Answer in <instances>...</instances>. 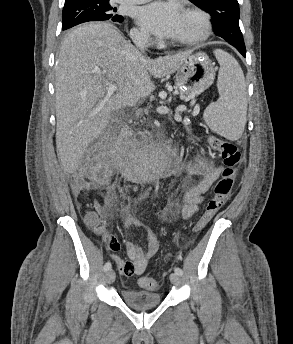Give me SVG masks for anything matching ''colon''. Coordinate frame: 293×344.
Wrapping results in <instances>:
<instances>
[{
  "label": "colon",
  "mask_w": 293,
  "mask_h": 344,
  "mask_svg": "<svg viewBox=\"0 0 293 344\" xmlns=\"http://www.w3.org/2000/svg\"><path fill=\"white\" fill-rule=\"evenodd\" d=\"M210 146L220 155L223 160L224 168L221 176L214 188L213 197L207 202L205 210L195 224L193 232L200 233L210 222L213 216L222 208L226 201L230 198L237 176L238 167L241 163V153L235 143L223 140L218 137H210ZM84 180L81 178L78 183V198L81 202L85 196L82 193ZM87 222L94 231L99 232L103 228L100 212L97 210H89L86 214ZM192 239L188 241L191 243ZM139 284L146 289H155L158 286L156 279L152 277H143L139 280Z\"/></svg>",
  "instance_id": "colon-1"
}]
</instances>
